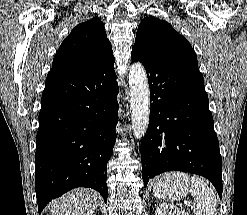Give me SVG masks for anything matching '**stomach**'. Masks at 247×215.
<instances>
[{
    "label": "stomach",
    "mask_w": 247,
    "mask_h": 215,
    "mask_svg": "<svg viewBox=\"0 0 247 215\" xmlns=\"http://www.w3.org/2000/svg\"><path fill=\"white\" fill-rule=\"evenodd\" d=\"M189 178L185 174L170 173L161 177L154 185V195L162 199L179 200L187 194Z\"/></svg>",
    "instance_id": "1"
}]
</instances>
